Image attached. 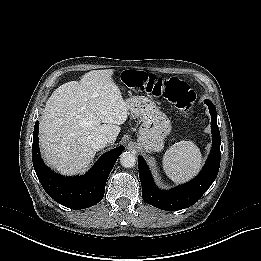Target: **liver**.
<instances>
[{
  "instance_id": "6515ba94",
  "label": "liver",
  "mask_w": 261,
  "mask_h": 261,
  "mask_svg": "<svg viewBox=\"0 0 261 261\" xmlns=\"http://www.w3.org/2000/svg\"><path fill=\"white\" fill-rule=\"evenodd\" d=\"M114 71L93 70L81 80L58 87L47 100L40 120L43 158L56 171L84 172L96 150L93 139L105 135L114 144L128 117V103L112 80Z\"/></svg>"
}]
</instances>
